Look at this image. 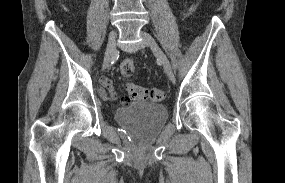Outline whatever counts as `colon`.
Returning <instances> with one entry per match:
<instances>
[{"mask_svg": "<svg viewBox=\"0 0 285 183\" xmlns=\"http://www.w3.org/2000/svg\"><path fill=\"white\" fill-rule=\"evenodd\" d=\"M120 72L123 76L129 77L135 72V63L132 59H125L120 63ZM127 92L130 99L148 100L152 102H160L165 99L166 91L161 88H145L134 83L127 84ZM128 98L122 100L127 103Z\"/></svg>", "mask_w": 285, "mask_h": 183, "instance_id": "5ec220e1", "label": "colon"}]
</instances>
